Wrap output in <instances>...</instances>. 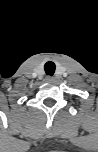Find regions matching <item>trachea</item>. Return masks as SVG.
<instances>
[{"label": "trachea", "mask_w": 98, "mask_h": 152, "mask_svg": "<svg viewBox=\"0 0 98 152\" xmlns=\"http://www.w3.org/2000/svg\"><path fill=\"white\" fill-rule=\"evenodd\" d=\"M56 66L52 61H48L45 65H44V70L45 73L47 75L53 76L54 72H55Z\"/></svg>", "instance_id": "3493384b"}]
</instances>
